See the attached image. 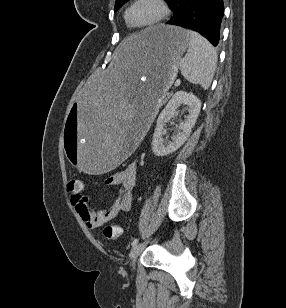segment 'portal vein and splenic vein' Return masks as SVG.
I'll list each match as a JSON object with an SVG mask.
<instances>
[{
    "instance_id": "obj_1",
    "label": "portal vein and splenic vein",
    "mask_w": 286,
    "mask_h": 308,
    "mask_svg": "<svg viewBox=\"0 0 286 308\" xmlns=\"http://www.w3.org/2000/svg\"><path fill=\"white\" fill-rule=\"evenodd\" d=\"M180 83H181V82H180V79H177V80L175 81V83H174V86H175V87H178V86L180 85Z\"/></svg>"
}]
</instances>
